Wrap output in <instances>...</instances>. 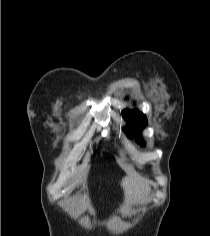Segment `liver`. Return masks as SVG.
<instances>
[{"label":"liver","instance_id":"1","mask_svg":"<svg viewBox=\"0 0 210 236\" xmlns=\"http://www.w3.org/2000/svg\"><path fill=\"white\" fill-rule=\"evenodd\" d=\"M125 194L133 199V201L144 200L150 191L149 184L142 180L126 177L122 181Z\"/></svg>","mask_w":210,"mask_h":236}]
</instances>
